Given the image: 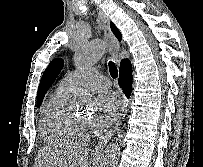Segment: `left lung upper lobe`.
Segmentation results:
<instances>
[{
	"label": "left lung upper lobe",
	"instance_id": "1",
	"mask_svg": "<svg viewBox=\"0 0 203 167\" xmlns=\"http://www.w3.org/2000/svg\"><path fill=\"white\" fill-rule=\"evenodd\" d=\"M62 67H63V60L60 58H56L50 62V64L44 71V74L41 78L39 88H38V95H37L38 107H40L46 91L52 85V83L60 73Z\"/></svg>",
	"mask_w": 203,
	"mask_h": 167
}]
</instances>
